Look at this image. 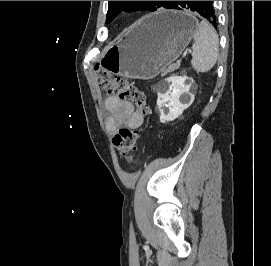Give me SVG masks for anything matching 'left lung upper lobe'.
I'll return each mask as SVG.
<instances>
[{"mask_svg": "<svg viewBox=\"0 0 271 266\" xmlns=\"http://www.w3.org/2000/svg\"><path fill=\"white\" fill-rule=\"evenodd\" d=\"M172 1H109L106 23H110L121 11H156L167 8Z\"/></svg>", "mask_w": 271, "mask_h": 266, "instance_id": "left-lung-upper-lobe-1", "label": "left lung upper lobe"}]
</instances>
